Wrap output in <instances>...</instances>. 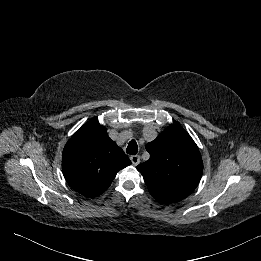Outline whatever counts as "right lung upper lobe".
<instances>
[{
	"label": "right lung upper lobe",
	"mask_w": 261,
	"mask_h": 261,
	"mask_svg": "<svg viewBox=\"0 0 261 261\" xmlns=\"http://www.w3.org/2000/svg\"><path fill=\"white\" fill-rule=\"evenodd\" d=\"M130 164L127 155L109 138L98 120H91L77 130L62 154L65 180L87 197L102 194L117 172Z\"/></svg>",
	"instance_id": "right-lung-upper-lobe-1"
}]
</instances>
